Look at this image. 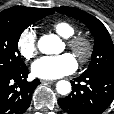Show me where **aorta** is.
<instances>
[{
  "label": "aorta",
  "mask_w": 114,
  "mask_h": 114,
  "mask_svg": "<svg viewBox=\"0 0 114 114\" xmlns=\"http://www.w3.org/2000/svg\"><path fill=\"white\" fill-rule=\"evenodd\" d=\"M61 41L53 35H44L38 41V48L42 53L54 54L60 51ZM56 90L61 95H67L71 92V84L69 81L61 80L56 85Z\"/></svg>",
  "instance_id": "1"
}]
</instances>
